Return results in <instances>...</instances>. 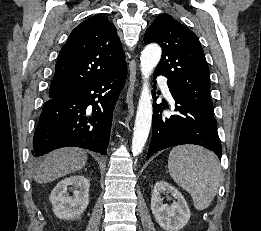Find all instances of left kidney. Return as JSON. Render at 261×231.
<instances>
[{"instance_id":"5707ae66","label":"left kidney","mask_w":261,"mask_h":231,"mask_svg":"<svg viewBox=\"0 0 261 231\" xmlns=\"http://www.w3.org/2000/svg\"><path fill=\"white\" fill-rule=\"evenodd\" d=\"M171 193L175 201L164 204L161 194ZM151 210L161 228L166 231H179L190 219V209L183 195L165 181L155 183L151 196Z\"/></svg>"}]
</instances>
